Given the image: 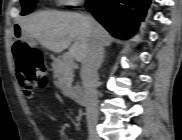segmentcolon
<instances>
[{
  "instance_id": "obj_1",
  "label": "colon",
  "mask_w": 182,
  "mask_h": 140,
  "mask_svg": "<svg viewBox=\"0 0 182 140\" xmlns=\"http://www.w3.org/2000/svg\"><path fill=\"white\" fill-rule=\"evenodd\" d=\"M13 54L17 61L19 80L26 97H33L34 90L47 81V69L41 52L23 41L15 42Z\"/></svg>"
}]
</instances>
